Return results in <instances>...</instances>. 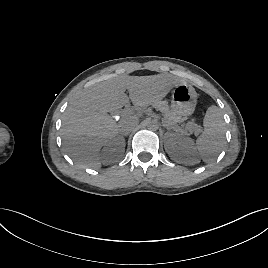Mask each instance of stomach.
<instances>
[{
    "label": "stomach",
    "instance_id": "obj_1",
    "mask_svg": "<svg viewBox=\"0 0 268 268\" xmlns=\"http://www.w3.org/2000/svg\"><path fill=\"white\" fill-rule=\"evenodd\" d=\"M197 93L186 83H180L172 90L171 110L181 118L191 116L196 107Z\"/></svg>",
    "mask_w": 268,
    "mask_h": 268
}]
</instances>
